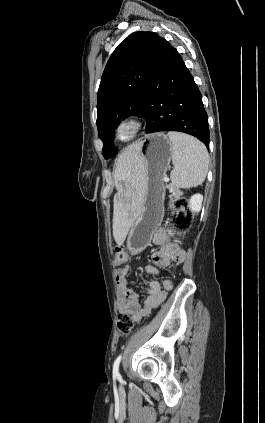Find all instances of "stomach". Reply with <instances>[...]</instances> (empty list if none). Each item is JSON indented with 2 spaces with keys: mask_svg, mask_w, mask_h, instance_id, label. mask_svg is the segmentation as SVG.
<instances>
[{
  "mask_svg": "<svg viewBox=\"0 0 265 423\" xmlns=\"http://www.w3.org/2000/svg\"><path fill=\"white\" fill-rule=\"evenodd\" d=\"M137 153L140 170L145 180V190L140 212L128 232L127 248L139 254L150 243L164 216V176L170 165L173 145L164 133L146 136L138 142Z\"/></svg>",
  "mask_w": 265,
  "mask_h": 423,
  "instance_id": "stomach-1",
  "label": "stomach"
}]
</instances>
